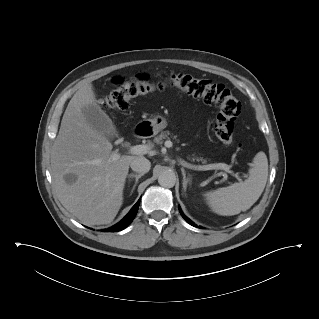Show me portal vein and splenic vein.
I'll return each instance as SVG.
<instances>
[{"mask_svg":"<svg viewBox=\"0 0 319 319\" xmlns=\"http://www.w3.org/2000/svg\"><path fill=\"white\" fill-rule=\"evenodd\" d=\"M173 146V143L169 140L165 142V147L171 148ZM150 150V146L148 145H135L130 147L129 151L133 155H143L147 154ZM119 154L115 153L112 155V160H117L119 158ZM181 164L189 169L193 170H199V171H207V170H223L227 173H230L232 176L236 177L239 181L241 180L238 174H235L233 171L230 170V166L225 163H216V164H209V165H192L190 163H187L186 161L182 160ZM224 176V179H227L226 174H222Z\"/></svg>","mask_w":319,"mask_h":319,"instance_id":"obj_1","label":"portal vein and splenic vein"}]
</instances>
